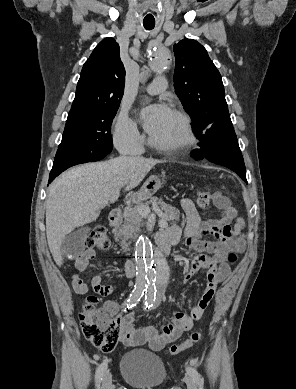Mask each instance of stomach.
<instances>
[{
  "label": "stomach",
  "mask_w": 296,
  "mask_h": 389,
  "mask_svg": "<svg viewBox=\"0 0 296 389\" xmlns=\"http://www.w3.org/2000/svg\"><path fill=\"white\" fill-rule=\"evenodd\" d=\"M160 187V180L156 177L149 178L141 188L138 196L140 198L151 197Z\"/></svg>",
  "instance_id": "0dacf381"
}]
</instances>
